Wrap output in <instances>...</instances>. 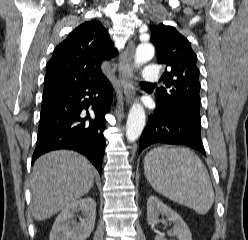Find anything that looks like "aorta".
I'll return each instance as SVG.
<instances>
[{"label":"aorta","instance_id":"762f6f07","mask_svg":"<svg viewBox=\"0 0 248 240\" xmlns=\"http://www.w3.org/2000/svg\"><path fill=\"white\" fill-rule=\"evenodd\" d=\"M154 47L149 43L138 45L135 53V65L139 66L151 60L154 56ZM145 110L140 103H134L129 111L126 123L127 140L132 143L138 139L145 126Z\"/></svg>","mask_w":248,"mask_h":240}]
</instances>
